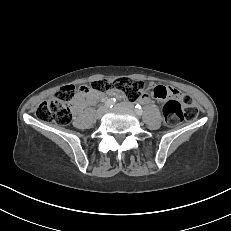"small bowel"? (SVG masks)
<instances>
[{
	"instance_id": "small-bowel-1",
	"label": "small bowel",
	"mask_w": 231,
	"mask_h": 231,
	"mask_svg": "<svg viewBox=\"0 0 231 231\" xmlns=\"http://www.w3.org/2000/svg\"><path fill=\"white\" fill-rule=\"evenodd\" d=\"M179 96L180 92L171 86H154L147 90L140 100L143 103H147L154 97L159 99H177ZM98 98V93L94 92L90 87L83 85L79 88V95L74 101V108L79 110L84 105L94 104Z\"/></svg>"
}]
</instances>
